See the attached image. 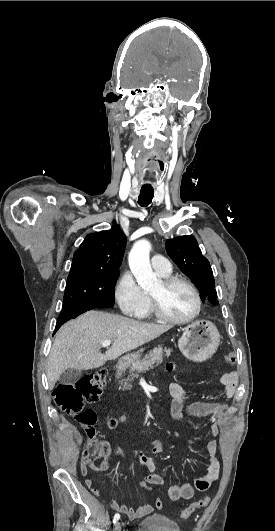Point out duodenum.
Listing matches in <instances>:
<instances>
[{"label": "duodenum", "instance_id": "410a0bca", "mask_svg": "<svg viewBox=\"0 0 275 531\" xmlns=\"http://www.w3.org/2000/svg\"><path fill=\"white\" fill-rule=\"evenodd\" d=\"M128 364V359L126 356H121L119 357L117 363H116V367H115V370H119L123 367H125L126 365Z\"/></svg>", "mask_w": 275, "mask_h": 531}]
</instances>
